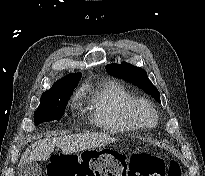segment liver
Returning <instances> with one entry per match:
<instances>
[{
  "label": "liver",
  "instance_id": "liver-1",
  "mask_svg": "<svg viewBox=\"0 0 205 176\" xmlns=\"http://www.w3.org/2000/svg\"><path fill=\"white\" fill-rule=\"evenodd\" d=\"M115 141L102 133L73 134L39 140L26 149L20 159V164L49 159L55 147L61 148L64 154H72L87 149L104 146Z\"/></svg>",
  "mask_w": 205,
  "mask_h": 176
}]
</instances>
